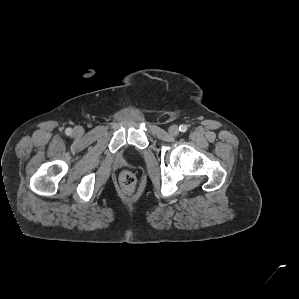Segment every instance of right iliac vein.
I'll return each instance as SVG.
<instances>
[{"instance_id": "obj_1", "label": "right iliac vein", "mask_w": 299, "mask_h": 299, "mask_svg": "<svg viewBox=\"0 0 299 299\" xmlns=\"http://www.w3.org/2000/svg\"><path fill=\"white\" fill-rule=\"evenodd\" d=\"M74 135L77 137H80L83 135L84 130L82 127H75L74 131H73Z\"/></svg>"}]
</instances>
